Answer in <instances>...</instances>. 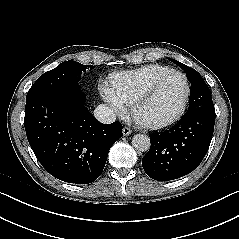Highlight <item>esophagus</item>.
Wrapping results in <instances>:
<instances>
[{
    "instance_id": "1",
    "label": "esophagus",
    "mask_w": 239,
    "mask_h": 239,
    "mask_svg": "<svg viewBox=\"0 0 239 239\" xmlns=\"http://www.w3.org/2000/svg\"><path fill=\"white\" fill-rule=\"evenodd\" d=\"M132 133V130L129 128V127H124L123 128V135L124 136H128V135H130Z\"/></svg>"
}]
</instances>
